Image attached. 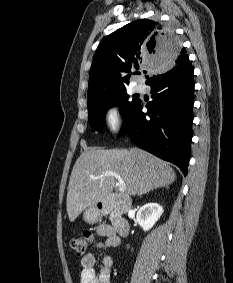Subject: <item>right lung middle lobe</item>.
<instances>
[{
	"label": "right lung middle lobe",
	"mask_w": 233,
	"mask_h": 283,
	"mask_svg": "<svg viewBox=\"0 0 233 283\" xmlns=\"http://www.w3.org/2000/svg\"><path fill=\"white\" fill-rule=\"evenodd\" d=\"M127 91H121L113 94L103 101L88 107L89 123L92 126V131H102V124L104 121L105 113L108 108L120 106V113L123 120L127 118L139 99L129 100Z\"/></svg>",
	"instance_id": "dd1d6c3e"
}]
</instances>
